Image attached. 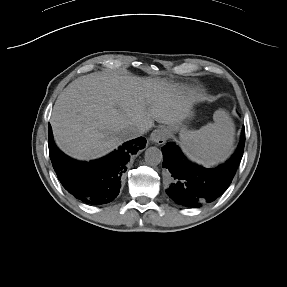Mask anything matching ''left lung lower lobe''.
Wrapping results in <instances>:
<instances>
[{
    "mask_svg": "<svg viewBox=\"0 0 287 287\" xmlns=\"http://www.w3.org/2000/svg\"><path fill=\"white\" fill-rule=\"evenodd\" d=\"M245 143V130L234 155L223 165L206 169L184 159L175 143L162 148L163 168L168 175L167 195L176 203L187 207H199L219 197L230 185L240 160Z\"/></svg>",
    "mask_w": 287,
    "mask_h": 287,
    "instance_id": "0a47b994",
    "label": "left lung lower lobe"
}]
</instances>
